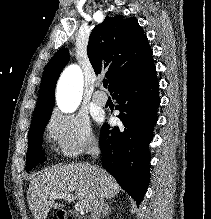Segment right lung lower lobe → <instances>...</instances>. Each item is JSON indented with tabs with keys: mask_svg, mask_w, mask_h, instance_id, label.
<instances>
[{
	"mask_svg": "<svg viewBox=\"0 0 211 219\" xmlns=\"http://www.w3.org/2000/svg\"><path fill=\"white\" fill-rule=\"evenodd\" d=\"M159 82L153 59L136 72L120 79L111 89L121 127L105 123L100 132L104 168L140 204L150 180L149 143L160 104Z\"/></svg>",
	"mask_w": 211,
	"mask_h": 219,
	"instance_id": "98d812e1",
	"label": "right lung lower lobe"
}]
</instances>
